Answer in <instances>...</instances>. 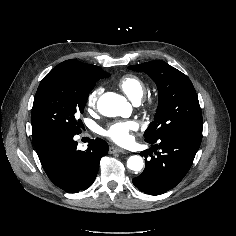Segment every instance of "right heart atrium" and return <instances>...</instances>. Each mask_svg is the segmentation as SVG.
<instances>
[{
    "label": "right heart atrium",
    "mask_w": 236,
    "mask_h": 236,
    "mask_svg": "<svg viewBox=\"0 0 236 236\" xmlns=\"http://www.w3.org/2000/svg\"><path fill=\"white\" fill-rule=\"evenodd\" d=\"M102 92V88H96L94 89L87 98V105L90 109H94L97 105L99 96Z\"/></svg>",
    "instance_id": "obj_1"
}]
</instances>
